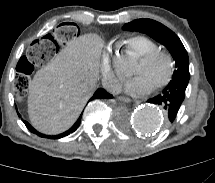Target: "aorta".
<instances>
[{
    "instance_id": "obj_1",
    "label": "aorta",
    "mask_w": 215,
    "mask_h": 183,
    "mask_svg": "<svg viewBox=\"0 0 215 183\" xmlns=\"http://www.w3.org/2000/svg\"><path fill=\"white\" fill-rule=\"evenodd\" d=\"M114 65L121 72L129 71L133 65V59L128 55H122L115 59ZM134 128L145 134H152L158 131L163 122L164 116L160 109L152 106L139 108L133 116Z\"/></svg>"
}]
</instances>
